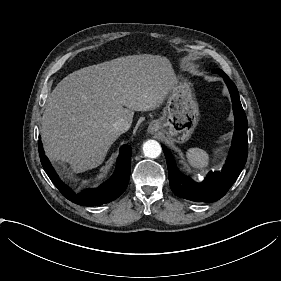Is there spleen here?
<instances>
[{
	"label": "spleen",
	"instance_id": "obj_1",
	"mask_svg": "<svg viewBox=\"0 0 281 281\" xmlns=\"http://www.w3.org/2000/svg\"><path fill=\"white\" fill-rule=\"evenodd\" d=\"M190 165L197 169H204L208 166L209 156L206 151L200 148H190L186 153Z\"/></svg>",
	"mask_w": 281,
	"mask_h": 281
}]
</instances>
